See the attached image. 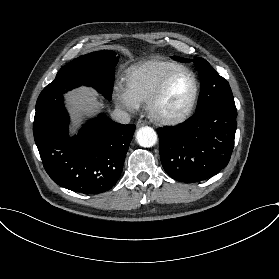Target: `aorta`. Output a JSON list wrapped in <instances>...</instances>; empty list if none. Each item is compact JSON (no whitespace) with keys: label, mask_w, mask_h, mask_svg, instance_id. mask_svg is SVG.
Returning <instances> with one entry per match:
<instances>
[{"label":"aorta","mask_w":279,"mask_h":279,"mask_svg":"<svg viewBox=\"0 0 279 279\" xmlns=\"http://www.w3.org/2000/svg\"><path fill=\"white\" fill-rule=\"evenodd\" d=\"M136 140L142 147H152L157 142V134L153 128L145 126L137 131Z\"/></svg>","instance_id":"1"}]
</instances>
